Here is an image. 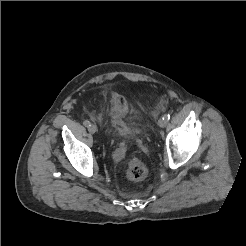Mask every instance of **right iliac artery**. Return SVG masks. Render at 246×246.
Masks as SVG:
<instances>
[{"label":"right iliac artery","instance_id":"82829eb1","mask_svg":"<svg viewBox=\"0 0 246 246\" xmlns=\"http://www.w3.org/2000/svg\"><path fill=\"white\" fill-rule=\"evenodd\" d=\"M83 124L86 126V127H89L91 124H90V122L88 121V120H85L84 122H83Z\"/></svg>","mask_w":246,"mask_h":246}]
</instances>
